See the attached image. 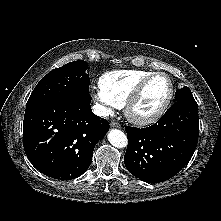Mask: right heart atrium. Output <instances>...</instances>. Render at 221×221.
<instances>
[{
    "mask_svg": "<svg viewBox=\"0 0 221 221\" xmlns=\"http://www.w3.org/2000/svg\"><path fill=\"white\" fill-rule=\"evenodd\" d=\"M99 113L103 116L111 114L114 110L119 108V105L110 98L102 89L94 88L91 92Z\"/></svg>",
    "mask_w": 221,
    "mask_h": 221,
    "instance_id": "obj_1",
    "label": "right heart atrium"
}]
</instances>
